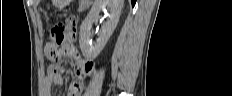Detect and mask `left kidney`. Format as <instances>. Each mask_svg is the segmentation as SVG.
I'll return each mask as SVG.
<instances>
[{"instance_id": "left-kidney-1", "label": "left kidney", "mask_w": 232, "mask_h": 96, "mask_svg": "<svg viewBox=\"0 0 232 96\" xmlns=\"http://www.w3.org/2000/svg\"><path fill=\"white\" fill-rule=\"evenodd\" d=\"M123 2V0H95L87 17L80 26L79 45L83 56L87 60L95 59L105 47L118 24ZM106 6L111 9L109 20L103 24L99 38L96 43L92 45L90 41L92 25L94 22L98 21L100 11Z\"/></svg>"}]
</instances>
